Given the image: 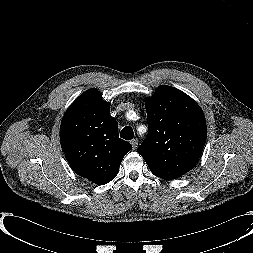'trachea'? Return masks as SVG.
<instances>
[{
  "label": "trachea",
  "instance_id": "1",
  "mask_svg": "<svg viewBox=\"0 0 253 253\" xmlns=\"http://www.w3.org/2000/svg\"><path fill=\"white\" fill-rule=\"evenodd\" d=\"M120 136H121V138H123L125 140L133 139V137H134L133 129L129 126L124 127L120 132Z\"/></svg>",
  "mask_w": 253,
  "mask_h": 253
}]
</instances>
